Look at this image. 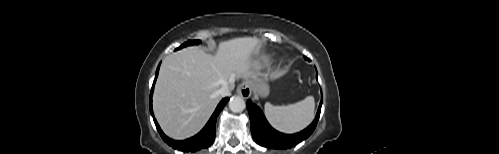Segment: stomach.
I'll return each instance as SVG.
<instances>
[{"label": "stomach", "instance_id": "1", "mask_svg": "<svg viewBox=\"0 0 499 154\" xmlns=\"http://www.w3.org/2000/svg\"><path fill=\"white\" fill-rule=\"evenodd\" d=\"M254 93L261 97H266L269 94V85L265 79L257 80L251 83Z\"/></svg>", "mask_w": 499, "mask_h": 154}]
</instances>
